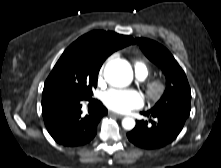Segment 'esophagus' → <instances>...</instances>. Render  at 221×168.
<instances>
[{
	"instance_id": "34e87169",
	"label": "esophagus",
	"mask_w": 221,
	"mask_h": 168,
	"mask_svg": "<svg viewBox=\"0 0 221 168\" xmlns=\"http://www.w3.org/2000/svg\"><path fill=\"white\" fill-rule=\"evenodd\" d=\"M110 114L112 115V116H115V117H118V118H123L124 117V115H122V114H118V113H115V112H110Z\"/></svg>"
}]
</instances>
